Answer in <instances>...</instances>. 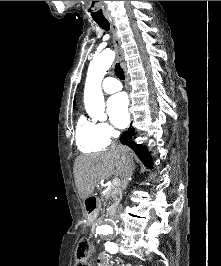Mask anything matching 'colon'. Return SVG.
Returning <instances> with one entry per match:
<instances>
[{"instance_id": "1", "label": "colon", "mask_w": 221, "mask_h": 266, "mask_svg": "<svg viewBox=\"0 0 221 266\" xmlns=\"http://www.w3.org/2000/svg\"><path fill=\"white\" fill-rule=\"evenodd\" d=\"M75 266H91L90 265V245L87 239H83L79 242L76 254Z\"/></svg>"}]
</instances>
